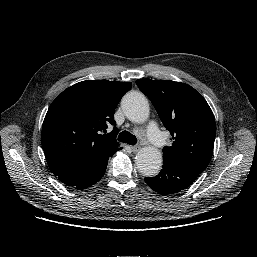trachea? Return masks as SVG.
Masks as SVG:
<instances>
[{"label":"trachea","instance_id":"3493384b","mask_svg":"<svg viewBox=\"0 0 257 257\" xmlns=\"http://www.w3.org/2000/svg\"><path fill=\"white\" fill-rule=\"evenodd\" d=\"M118 141L135 145L137 143V138L128 131H122L118 136Z\"/></svg>","mask_w":257,"mask_h":257}]
</instances>
